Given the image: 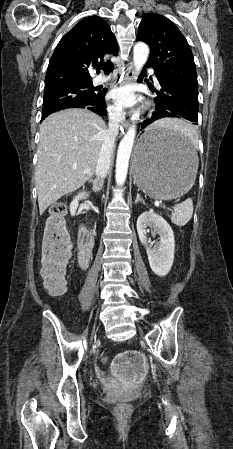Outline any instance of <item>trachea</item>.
<instances>
[{
	"label": "trachea",
	"mask_w": 233,
	"mask_h": 449,
	"mask_svg": "<svg viewBox=\"0 0 233 449\" xmlns=\"http://www.w3.org/2000/svg\"><path fill=\"white\" fill-rule=\"evenodd\" d=\"M97 69H102L105 74H109L114 69V65L111 61H108L102 65L97 66Z\"/></svg>",
	"instance_id": "3493384b"
}]
</instances>
